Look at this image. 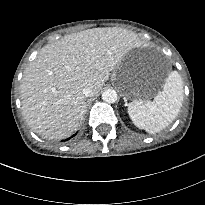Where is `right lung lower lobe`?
I'll return each instance as SVG.
<instances>
[{
  "label": "right lung lower lobe",
  "mask_w": 205,
  "mask_h": 205,
  "mask_svg": "<svg viewBox=\"0 0 205 205\" xmlns=\"http://www.w3.org/2000/svg\"><path fill=\"white\" fill-rule=\"evenodd\" d=\"M75 135H76V134H74L73 136H75ZM73 136H71V137H73ZM71 137H70V138H71ZM70 138H68V139H66V140H69Z\"/></svg>",
  "instance_id": "1"
}]
</instances>
